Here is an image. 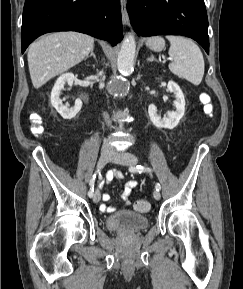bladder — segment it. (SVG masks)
Returning a JSON list of instances; mask_svg holds the SVG:
<instances>
[{
  "instance_id": "obj_1",
  "label": "bladder",
  "mask_w": 243,
  "mask_h": 289,
  "mask_svg": "<svg viewBox=\"0 0 243 289\" xmlns=\"http://www.w3.org/2000/svg\"><path fill=\"white\" fill-rule=\"evenodd\" d=\"M105 223L109 230L132 233L146 229L149 225V219L143 214L125 210L109 215Z\"/></svg>"
}]
</instances>
